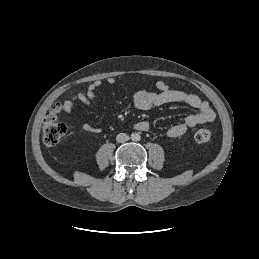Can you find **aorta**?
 I'll return each mask as SVG.
<instances>
[{
    "instance_id": "aorta-1",
    "label": "aorta",
    "mask_w": 259,
    "mask_h": 259,
    "mask_svg": "<svg viewBox=\"0 0 259 259\" xmlns=\"http://www.w3.org/2000/svg\"><path fill=\"white\" fill-rule=\"evenodd\" d=\"M132 139L135 140V141H137V140L140 139V137H139V135H133V136H132Z\"/></svg>"
}]
</instances>
